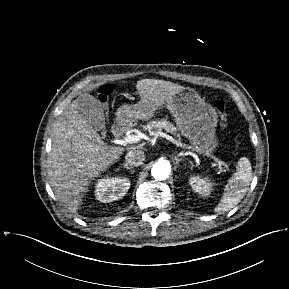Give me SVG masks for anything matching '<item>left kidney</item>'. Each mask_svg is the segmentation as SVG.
I'll return each instance as SVG.
<instances>
[{"label": "left kidney", "mask_w": 289, "mask_h": 289, "mask_svg": "<svg viewBox=\"0 0 289 289\" xmlns=\"http://www.w3.org/2000/svg\"><path fill=\"white\" fill-rule=\"evenodd\" d=\"M189 183L192 189L202 196H208L210 194L212 183L208 178H201L200 176H192L189 179Z\"/></svg>", "instance_id": "5707ae66"}]
</instances>
